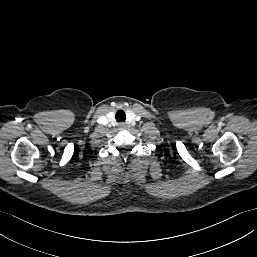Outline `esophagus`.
<instances>
[{"label": "esophagus", "instance_id": "34e87169", "mask_svg": "<svg viewBox=\"0 0 257 257\" xmlns=\"http://www.w3.org/2000/svg\"><path fill=\"white\" fill-rule=\"evenodd\" d=\"M121 127H123L124 125L123 124H120Z\"/></svg>", "mask_w": 257, "mask_h": 257}]
</instances>
